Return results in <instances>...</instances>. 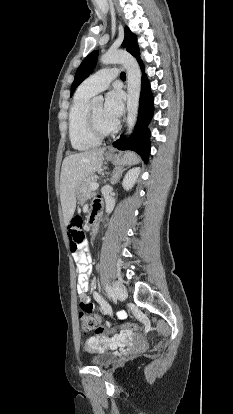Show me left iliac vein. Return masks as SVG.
<instances>
[{
	"mask_svg": "<svg viewBox=\"0 0 233 414\" xmlns=\"http://www.w3.org/2000/svg\"><path fill=\"white\" fill-rule=\"evenodd\" d=\"M114 294L119 300H125L127 298V289L121 282H115L113 284Z\"/></svg>",
	"mask_w": 233,
	"mask_h": 414,
	"instance_id": "1",
	"label": "left iliac vein"
}]
</instances>
